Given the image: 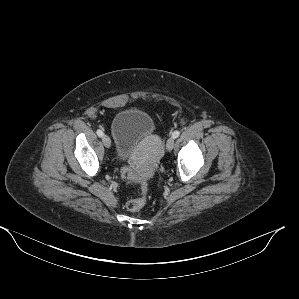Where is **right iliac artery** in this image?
I'll return each instance as SVG.
<instances>
[{"label": "right iliac artery", "mask_w": 299, "mask_h": 299, "mask_svg": "<svg viewBox=\"0 0 299 299\" xmlns=\"http://www.w3.org/2000/svg\"><path fill=\"white\" fill-rule=\"evenodd\" d=\"M97 135L99 136V137H102L103 135H104V133H103V131L102 130H97Z\"/></svg>", "instance_id": "1"}]
</instances>
